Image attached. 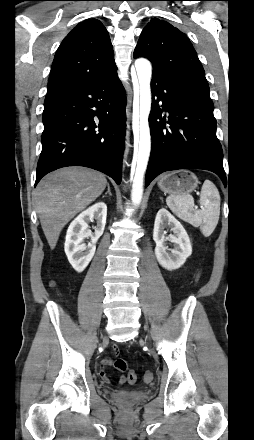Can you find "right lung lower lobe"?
<instances>
[{
  "label": "right lung lower lobe",
  "instance_id": "1",
  "mask_svg": "<svg viewBox=\"0 0 254 440\" xmlns=\"http://www.w3.org/2000/svg\"><path fill=\"white\" fill-rule=\"evenodd\" d=\"M125 103L117 74L47 92L35 186L47 173L66 166L90 167L120 184Z\"/></svg>",
  "mask_w": 254,
  "mask_h": 440
}]
</instances>
